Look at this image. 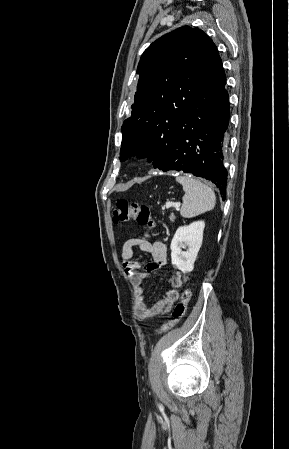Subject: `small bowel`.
I'll use <instances>...</instances> for the list:
<instances>
[{"label": "small bowel", "mask_w": 289, "mask_h": 449, "mask_svg": "<svg viewBox=\"0 0 289 449\" xmlns=\"http://www.w3.org/2000/svg\"><path fill=\"white\" fill-rule=\"evenodd\" d=\"M134 248L151 255L152 262L146 266V269H143L138 261L132 259ZM121 257L125 271L136 287L135 308L138 319L146 320L159 314L169 313L179 298L180 289L186 282V277L180 271H175L170 278L173 288L168 290L161 300L150 306L146 303L143 287V281L150 276V272L168 265L167 246L162 241L151 242L148 238V230H146L145 237L131 238L123 244Z\"/></svg>", "instance_id": "obj_1"}]
</instances>
